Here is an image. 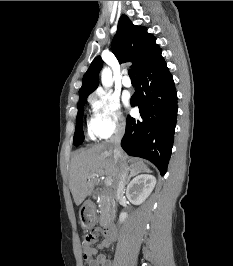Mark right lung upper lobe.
Here are the masks:
<instances>
[{
	"label": "right lung upper lobe",
	"instance_id": "right-lung-upper-lobe-1",
	"mask_svg": "<svg viewBox=\"0 0 233 266\" xmlns=\"http://www.w3.org/2000/svg\"><path fill=\"white\" fill-rule=\"evenodd\" d=\"M112 51L120 63L131 61L137 74L161 55L156 38L147 33L145 27L133 25L126 15L118 22V29L112 41ZM102 59L96 57L85 73L79 99L86 98L98 86V74L102 68Z\"/></svg>",
	"mask_w": 233,
	"mask_h": 266
}]
</instances>
